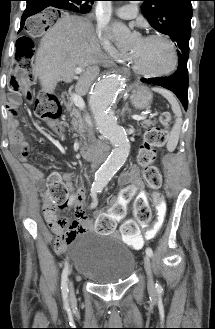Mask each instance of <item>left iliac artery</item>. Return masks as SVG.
<instances>
[{"label":"left iliac artery","mask_w":215,"mask_h":329,"mask_svg":"<svg viewBox=\"0 0 215 329\" xmlns=\"http://www.w3.org/2000/svg\"><path fill=\"white\" fill-rule=\"evenodd\" d=\"M99 192H101V190H99ZM146 254H147L148 256L152 257V256H153V251H152V249L148 247V248L146 249ZM156 288H157V291H162V287H161V285H160L159 283H156Z\"/></svg>","instance_id":"obj_1"}]
</instances>
